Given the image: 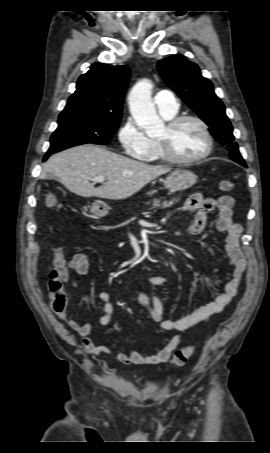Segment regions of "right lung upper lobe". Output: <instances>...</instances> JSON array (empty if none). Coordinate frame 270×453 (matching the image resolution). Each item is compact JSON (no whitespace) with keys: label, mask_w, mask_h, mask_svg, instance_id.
<instances>
[{"label":"right lung upper lobe","mask_w":270,"mask_h":453,"mask_svg":"<svg viewBox=\"0 0 270 453\" xmlns=\"http://www.w3.org/2000/svg\"><path fill=\"white\" fill-rule=\"evenodd\" d=\"M130 77L127 66L95 63L81 75L76 91L69 97L59 117L78 113H97L121 118L123 96Z\"/></svg>","instance_id":"1"}]
</instances>
